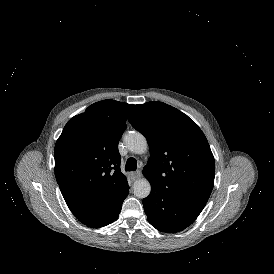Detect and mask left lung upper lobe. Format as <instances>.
<instances>
[{
  "label": "left lung upper lobe",
  "mask_w": 274,
  "mask_h": 274,
  "mask_svg": "<svg viewBox=\"0 0 274 274\" xmlns=\"http://www.w3.org/2000/svg\"><path fill=\"white\" fill-rule=\"evenodd\" d=\"M128 121L147 138L150 158L143 174L149 182L206 203L215 163L201 129L178 109L156 101L135 105Z\"/></svg>",
  "instance_id": "5c2ea615"
}]
</instances>
